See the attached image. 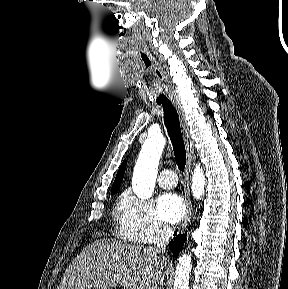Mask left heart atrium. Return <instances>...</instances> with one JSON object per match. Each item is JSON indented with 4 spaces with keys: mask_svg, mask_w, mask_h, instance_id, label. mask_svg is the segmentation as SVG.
Instances as JSON below:
<instances>
[{
    "mask_svg": "<svg viewBox=\"0 0 288 289\" xmlns=\"http://www.w3.org/2000/svg\"><path fill=\"white\" fill-rule=\"evenodd\" d=\"M186 211L183 198L174 192L160 196L157 201V212L161 219L169 223H176L182 219Z\"/></svg>",
    "mask_w": 288,
    "mask_h": 289,
    "instance_id": "39dd6f15",
    "label": "left heart atrium"
}]
</instances>
